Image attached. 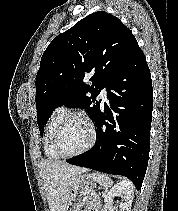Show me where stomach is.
I'll list each match as a JSON object with an SVG mask.
<instances>
[{"mask_svg": "<svg viewBox=\"0 0 178 211\" xmlns=\"http://www.w3.org/2000/svg\"><path fill=\"white\" fill-rule=\"evenodd\" d=\"M95 186V181L88 175H80L72 184L65 211H80L86 205Z\"/></svg>", "mask_w": 178, "mask_h": 211, "instance_id": "stomach-1", "label": "stomach"}]
</instances>
